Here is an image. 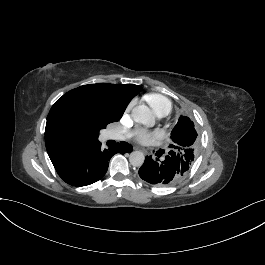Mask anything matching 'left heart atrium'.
I'll return each mask as SVG.
<instances>
[{"mask_svg": "<svg viewBox=\"0 0 265 265\" xmlns=\"http://www.w3.org/2000/svg\"><path fill=\"white\" fill-rule=\"evenodd\" d=\"M142 131V134L139 137H136L135 139L140 142H146L148 141L152 136L155 135L154 132H150L147 129H140Z\"/></svg>", "mask_w": 265, "mask_h": 265, "instance_id": "39dd6f15", "label": "left heart atrium"}]
</instances>
